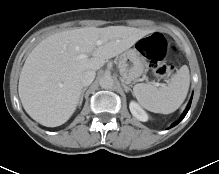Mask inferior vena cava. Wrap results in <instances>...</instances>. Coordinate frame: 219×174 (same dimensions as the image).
Returning <instances> with one entry per match:
<instances>
[{
    "instance_id": "1",
    "label": "inferior vena cava",
    "mask_w": 219,
    "mask_h": 174,
    "mask_svg": "<svg viewBox=\"0 0 219 174\" xmlns=\"http://www.w3.org/2000/svg\"><path fill=\"white\" fill-rule=\"evenodd\" d=\"M95 75H96V73L93 70H89V71L84 72L81 75V82H82L83 86L90 85L93 82Z\"/></svg>"
}]
</instances>
